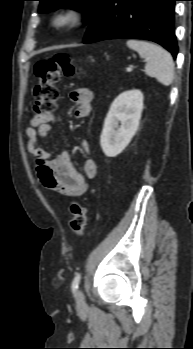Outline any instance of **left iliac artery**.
Returning a JSON list of instances; mask_svg holds the SVG:
<instances>
[{"mask_svg":"<svg viewBox=\"0 0 193 349\" xmlns=\"http://www.w3.org/2000/svg\"><path fill=\"white\" fill-rule=\"evenodd\" d=\"M80 279H81V274L78 273V274L75 276V278H74V280H73V282H72V291H73V293H75L76 290L78 289L79 283H80Z\"/></svg>","mask_w":193,"mask_h":349,"instance_id":"left-iliac-artery-1","label":"left iliac artery"}]
</instances>
